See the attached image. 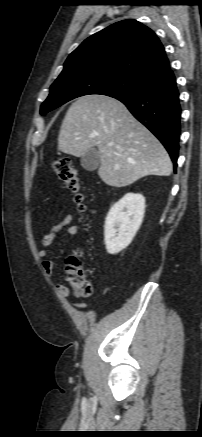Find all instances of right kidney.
Here are the masks:
<instances>
[{"label": "right kidney", "instance_id": "obj_1", "mask_svg": "<svg viewBox=\"0 0 202 437\" xmlns=\"http://www.w3.org/2000/svg\"><path fill=\"white\" fill-rule=\"evenodd\" d=\"M145 212L142 194L127 193L115 203L105 220L104 240L109 254L125 249L139 230Z\"/></svg>", "mask_w": 202, "mask_h": 437}]
</instances>
